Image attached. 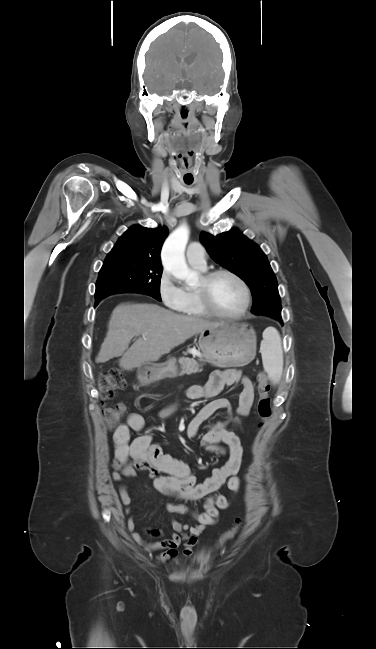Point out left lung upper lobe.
<instances>
[{
    "label": "left lung upper lobe",
    "instance_id": "1",
    "mask_svg": "<svg viewBox=\"0 0 376 649\" xmlns=\"http://www.w3.org/2000/svg\"><path fill=\"white\" fill-rule=\"evenodd\" d=\"M200 239L215 262L249 286L253 295L252 313L282 322L276 276L260 247L237 229L217 236L201 232Z\"/></svg>",
    "mask_w": 376,
    "mask_h": 649
}]
</instances>
